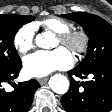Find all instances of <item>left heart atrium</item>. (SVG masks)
Masks as SVG:
<instances>
[{
  "mask_svg": "<svg viewBox=\"0 0 112 112\" xmlns=\"http://www.w3.org/2000/svg\"><path fill=\"white\" fill-rule=\"evenodd\" d=\"M71 53L64 47L53 51H38L23 59L27 76L44 77L56 70H64L72 65Z\"/></svg>",
  "mask_w": 112,
  "mask_h": 112,
  "instance_id": "1",
  "label": "left heart atrium"
}]
</instances>
